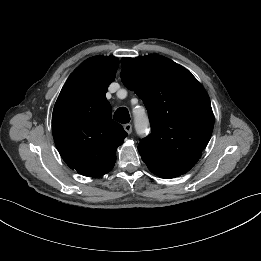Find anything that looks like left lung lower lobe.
Listing matches in <instances>:
<instances>
[{
	"instance_id": "obj_1",
	"label": "left lung lower lobe",
	"mask_w": 261,
	"mask_h": 261,
	"mask_svg": "<svg viewBox=\"0 0 261 261\" xmlns=\"http://www.w3.org/2000/svg\"><path fill=\"white\" fill-rule=\"evenodd\" d=\"M153 172V171H151ZM154 174H156L157 176L161 177V178H174L177 177L178 175H170V174H164V173H157V172H153Z\"/></svg>"
}]
</instances>
